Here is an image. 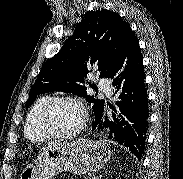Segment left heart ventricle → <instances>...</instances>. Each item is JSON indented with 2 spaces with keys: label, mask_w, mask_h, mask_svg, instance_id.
<instances>
[{
  "label": "left heart ventricle",
  "mask_w": 183,
  "mask_h": 179,
  "mask_svg": "<svg viewBox=\"0 0 183 179\" xmlns=\"http://www.w3.org/2000/svg\"><path fill=\"white\" fill-rule=\"evenodd\" d=\"M82 120L78 106L69 102L57 104L47 118L48 128L56 133H69L75 130Z\"/></svg>",
  "instance_id": "left-heart-ventricle-1"
}]
</instances>
